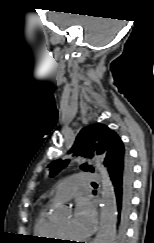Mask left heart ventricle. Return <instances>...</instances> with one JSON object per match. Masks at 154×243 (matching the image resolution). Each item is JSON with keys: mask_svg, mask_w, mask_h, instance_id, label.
Returning <instances> with one entry per match:
<instances>
[{"mask_svg": "<svg viewBox=\"0 0 154 243\" xmlns=\"http://www.w3.org/2000/svg\"><path fill=\"white\" fill-rule=\"evenodd\" d=\"M60 229L68 236L74 239L82 238V235L73 227L72 218L68 216L57 224Z\"/></svg>", "mask_w": 154, "mask_h": 243, "instance_id": "b2bd125f", "label": "left heart ventricle"}]
</instances>
